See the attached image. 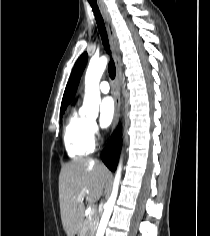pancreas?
I'll list each match as a JSON object with an SVG mask.
<instances>
[{"mask_svg": "<svg viewBox=\"0 0 210 236\" xmlns=\"http://www.w3.org/2000/svg\"><path fill=\"white\" fill-rule=\"evenodd\" d=\"M97 227V219L93 216L87 217L84 221L83 233L86 235H92ZM82 236V235H81Z\"/></svg>", "mask_w": 210, "mask_h": 236, "instance_id": "obj_1", "label": "pancreas"}]
</instances>
